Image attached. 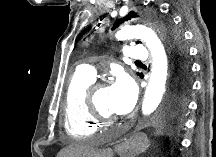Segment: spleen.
Returning a JSON list of instances; mask_svg holds the SVG:
<instances>
[{
	"instance_id": "3e777b00",
	"label": "spleen",
	"mask_w": 216,
	"mask_h": 157,
	"mask_svg": "<svg viewBox=\"0 0 216 157\" xmlns=\"http://www.w3.org/2000/svg\"><path fill=\"white\" fill-rule=\"evenodd\" d=\"M158 134H162L160 131L159 132H157Z\"/></svg>"
}]
</instances>
